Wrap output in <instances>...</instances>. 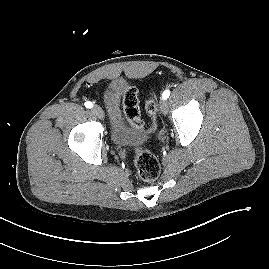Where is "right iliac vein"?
I'll return each instance as SVG.
<instances>
[{"instance_id":"63e3f726","label":"right iliac vein","mask_w":269,"mask_h":269,"mask_svg":"<svg viewBox=\"0 0 269 269\" xmlns=\"http://www.w3.org/2000/svg\"><path fill=\"white\" fill-rule=\"evenodd\" d=\"M93 112L95 113V115L100 118L103 119L104 118V111L102 110L101 107L99 106H94V108L92 109Z\"/></svg>"}]
</instances>
